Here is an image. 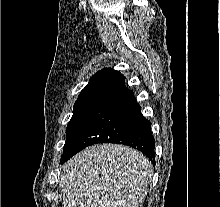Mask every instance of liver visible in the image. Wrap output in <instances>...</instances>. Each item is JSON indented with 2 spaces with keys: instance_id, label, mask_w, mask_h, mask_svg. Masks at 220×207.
Masks as SVG:
<instances>
[{
  "instance_id": "liver-1",
  "label": "liver",
  "mask_w": 220,
  "mask_h": 207,
  "mask_svg": "<svg viewBox=\"0 0 220 207\" xmlns=\"http://www.w3.org/2000/svg\"><path fill=\"white\" fill-rule=\"evenodd\" d=\"M153 166L141 152L119 144H97L63 166V207H142Z\"/></svg>"
}]
</instances>
